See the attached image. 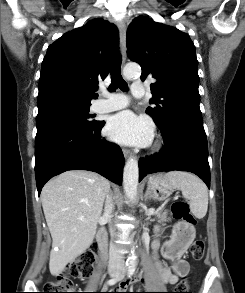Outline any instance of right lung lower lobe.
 Here are the masks:
<instances>
[{"label": "right lung lower lobe", "mask_w": 245, "mask_h": 293, "mask_svg": "<svg viewBox=\"0 0 245 293\" xmlns=\"http://www.w3.org/2000/svg\"><path fill=\"white\" fill-rule=\"evenodd\" d=\"M105 122L86 128L61 129L35 143V175L38 194L52 177L67 170L97 172L119 185L125 159L116 144L101 137Z\"/></svg>", "instance_id": "98d812e1"}]
</instances>
